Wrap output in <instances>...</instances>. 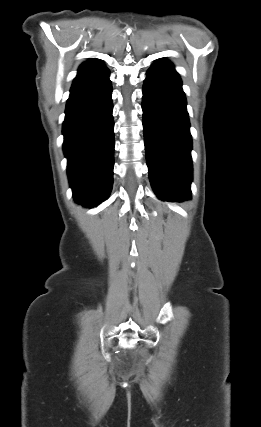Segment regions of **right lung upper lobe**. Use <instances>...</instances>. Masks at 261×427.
Segmentation results:
<instances>
[{
  "mask_svg": "<svg viewBox=\"0 0 261 427\" xmlns=\"http://www.w3.org/2000/svg\"><path fill=\"white\" fill-rule=\"evenodd\" d=\"M104 65L101 61L98 59H90L89 61L83 63L79 67L78 75L83 74L85 72H88L90 70H93L95 68H98L100 66Z\"/></svg>",
  "mask_w": 261,
  "mask_h": 427,
  "instance_id": "1",
  "label": "right lung upper lobe"
}]
</instances>
